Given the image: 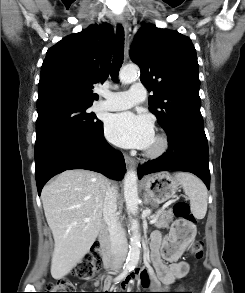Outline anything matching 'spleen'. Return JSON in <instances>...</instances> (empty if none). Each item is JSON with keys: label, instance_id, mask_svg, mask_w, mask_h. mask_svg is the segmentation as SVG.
Listing matches in <instances>:
<instances>
[{"label": "spleen", "instance_id": "3e777b00", "mask_svg": "<svg viewBox=\"0 0 245 293\" xmlns=\"http://www.w3.org/2000/svg\"><path fill=\"white\" fill-rule=\"evenodd\" d=\"M175 181L182 186L186 196L190 200L192 214L197 219H203L207 212V189L204 183L186 172H179L174 175Z\"/></svg>", "mask_w": 245, "mask_h": 293}]
</instances>
